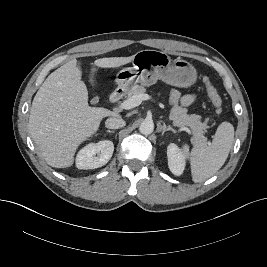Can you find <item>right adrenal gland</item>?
Instances as JSON below:
<instances>
[{
    "label": "right adrenal gland",
    "mask_w": 267,
    "mask_h": 267,
    "mask_svg": "<svg viewBox=\"0 0 267 267\" xmlns=\"http://www.w3.org/2000/svg\"><path fill=\"white\" fill-rule=\"evenodd\" d=\"M108 133H115V131L107 130Z\"/></svg>",
    "instance_id": "obj_1"
}]
</instances>
